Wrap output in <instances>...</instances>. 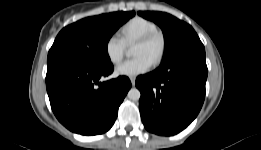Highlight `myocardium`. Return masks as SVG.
<instances>
[{
    "label": "myocardium",
    "mask_w": 261,
    "mask_h": 150,
    "mask_svg": "<svg viewBox=\"0 0 261 150\" xmlns=\"http://www.w3.org/2000/svg\"><path fill=\"white\" fill-rule=\"evenodd\" d=\"M154 42H158V50L155 54L153 64L158 65L162 62L166 53L167 42L165 35L160 30H156L149 32L136 40V43L142 44H152Z\"/></svg>",
    "instance_id": "myocardium-1"
}]
</instances>
